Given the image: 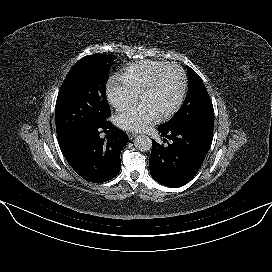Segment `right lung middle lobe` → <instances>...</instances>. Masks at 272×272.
Listing matches in <instances>:
<instances>
[{
    "instance_id": "dd1d6c3e",
    "label": "right lung middle lobe",
    "mask_w": 272,
    "mask_h": 272,
    "mask_svg": "<svg viewBox=\"0 0 272 272\" xmlns=\"http://www.w3.org/2000/svg\"><path fill=\"white\" fill-rule=\"evenodd\" d=\"M114 56L88 55L76 62L65 77L55 106L58 140L70 139L108 121L110 108L105 87Z\"/></svg>"
}]
</instances>
